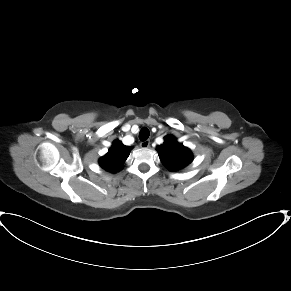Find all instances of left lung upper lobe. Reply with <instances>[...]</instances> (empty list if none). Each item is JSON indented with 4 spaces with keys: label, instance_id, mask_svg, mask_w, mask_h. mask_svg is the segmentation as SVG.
<instances>
[{
    "label": "left lung upper lobe",
    "instance_id": "5c2ea615",
    "mask_svg": "<svg viewBox=\"0 0 291 291\" xmlns=\"http://www.w3.org/2000/svg\"><path fill=\"white\" fill-rule=\"evenodd\" d=\"M156 149L161 162L170 171L180 170L193 160L190 149L179 144L172 135L165 137L164 143Z\"/></svg>",
    "mask_w": 291,
    "mask_h": 291
}]
</instances>
